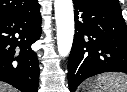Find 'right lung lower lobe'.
<instances>
[{
    "label": "right lung lower lobe",
    "mask_w": 127,
    "mask_h": 92,
    "mask_svg": "<svg viewBox=\"0 0 127 92\" xmlns=\"http://www.w3.org/2000/svg\"><path fill=\"white\" fill-rule=\"evenodd\" d=\"M41 35L40 5L0 18V81L37 92L39 64L31 45Z\"/></svg>",
    "instance_id": "98d812e1"
}]
</instances>
